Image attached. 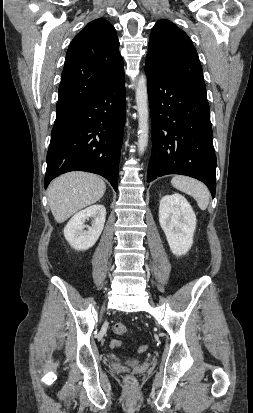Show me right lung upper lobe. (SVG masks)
Returning a JSON list of instances; mask_svg holds the SVG:
<instances>
[{
    "mask_svg": "<svg viewBox=\"0 0 253 413\" xmlns=\"http://www.w3.org/2000/svg\"><path fill=\"white\" fill-rule=\"evenodd\" d=\"M123 68L115 28L103 18L91 21L67 50L56 110L105 89L124 74Z\"/></svg>",
    "mask_w": 253,
    "mask_h": 413,
    "instance_id": "obj_1",
    "label": "right lung upper lobe"
}]
</instances>
